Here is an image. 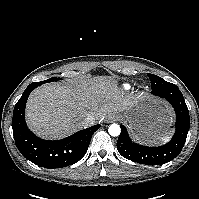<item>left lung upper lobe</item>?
Instances as JSON below:
<instances>
[{
  "instance_id": "left-lung-upper-lobe-1",
  "label": "left lung upper lobe",
  "mask_w": 199,
  "mask_h": 199,
  "mask_svg": "<svg viewBox=\"0 0 199 199\" xmlns=\"http://www.w3.org/2000/svg\"><path fill=\"white\" fill-rule=\"evenodd\" d=\"M148 76H149V79L151 81L153 91L160 90V89H166L168 87L174 86V84L169 83V82L165 81L164 79H162V78H160L156 75L148 74Z\"/></svg>"
}]
</instances>
